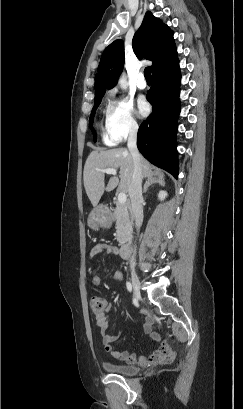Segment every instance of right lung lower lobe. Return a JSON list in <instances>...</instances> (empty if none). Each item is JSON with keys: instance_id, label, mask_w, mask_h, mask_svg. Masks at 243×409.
Listing matches in <instances>:
<instances>
[{"instance_id": "1", "label": "right lung lower lobe", "mask_w": 243, "mask_h": 409, "mask_svg": "<svg viewBox=\"0 0 243 409\" xmlns=\"http://www.w3.org/2000/svg\"><path fill=\"white\" fill-rule=\"evenodd\" d=\"M153 86L147 94L150 116L139 127L137 146L152 164L177 178L176 130L180 113V71L176 48L152 71Z\"/></svg>"}]
</instances>
